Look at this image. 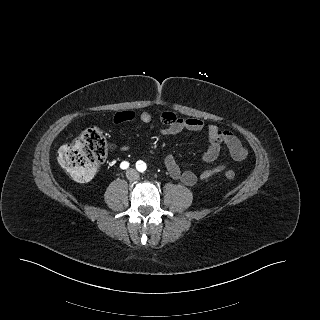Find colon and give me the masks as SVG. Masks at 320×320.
<instances>
[{"mask_svg": "<svg viewBox=\"0 0 320 320\" xmlns=\"http://www.w3.org/2000/svg\"><path fill=\"white\" fill-rule=\"evenodd\" d=\"M108 144L97 126L85 129L72 143L62 146L58 151V161L65 171L77 182L90 181L107 155ZM236 174L226 170L224 177L233 180Z\"/></svg>", "mask_w": 320, "mask_h": 320, "instance_id": "obj_1", "label": "colon"}]
</instances>
